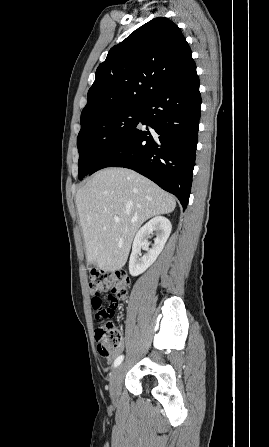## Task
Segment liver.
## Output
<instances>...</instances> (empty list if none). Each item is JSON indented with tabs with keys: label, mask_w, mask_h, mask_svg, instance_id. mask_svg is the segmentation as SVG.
<instances>
[{
	"label": "liver",
	"mask_w": 269,
	"mask_h": 447,
	"mask_svg": "<svg viewBox=\"0 0 269 447\" xmlns=\"http://www.w3.org/2000/svg\"><path fill=\"white\" fill-rule=\"evenodd\" d=\"M76 206L88 263H96L103 271H116L125 265L140 225L153 216L170 214L176 202L133 170L105 168L77 190ZM114 216L120 222H114Z\"/></svg>",
	"instance_id": "liver-1"
}]
</instances>
